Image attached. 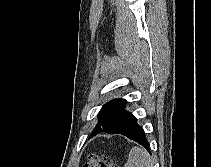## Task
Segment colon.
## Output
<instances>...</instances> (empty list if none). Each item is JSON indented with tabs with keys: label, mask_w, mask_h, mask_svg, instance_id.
<instances>
[{
	"label": "colon",
	"mask_w": 211,
	"mask_h": 167,
	"mask_svg": "<svg viewBox=\"0 0 211 167\" xmlns=\"http://www.w3.org/2000/svg\"><path fill=\"white\" fill-rule=\"evenodd\" d=\"M84 167H116L112 159L107 156L90 155Z\"/></svg>",
	"instance_id": "colon-1"
}]
</instances>
